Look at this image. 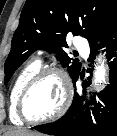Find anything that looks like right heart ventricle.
<instances>
[{
    "instance_id": "obj_1",
    "label": "right heart ventricle",
    "mask_w": 117,
    "mask_h": 136,
    "mask_svg": "<svg viewBox=\"0 0 117 136\" xmlns=\"http://www.w3.org/2000/svg\"><path fill=\"white\" fill-rule=\"evenodd\" d=\"M41 62L34 60L27 64L15 77L9 94V116L16 125H22L24 122L17 115V104L20 93L29 79L40 69Z\"/></svg>"
}]
</instances>
